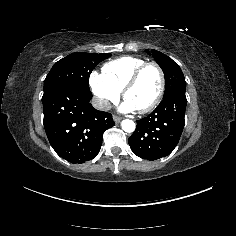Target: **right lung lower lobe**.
Returning <instances> with one entry per match:
<instances>
[{
  "label": "right lung lower lobe",
  "instance_id": "1",
  "mask_svg": "<svg viewBox=\"0 0 236 236\" xmlns=\"http://www.w3.org/2000/svg\"><path fill=\"white\" fill-rule=\"evenodd\" d=\"M92 94L57 86L43 94L44 128L55 152L70 163L93 159L100 151L103 133L115 122L112 115L96 110Z\"/></svg>",
  "mask_w": 236,
  "mask_h": 236
}]
</instances>
